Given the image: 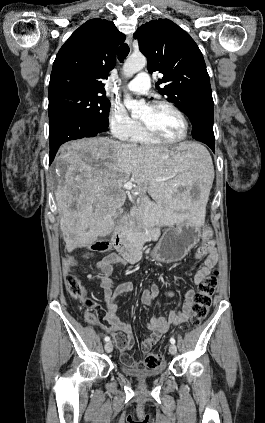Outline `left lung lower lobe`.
<instances>
[{
    "label": "left lung lower lobe",
    "instance_id": "1",
    "mask_svg": "<svg viewBox=\"0 0 265 423\" xmlns=\"http://www.w3.org/2000/svg\"><path fill=\"white\" fill-rule=\"evenodd\" d=\"M213 98L205 96L195 105L192 116V136L197 141L208 145L215 152L214 132H213Z\"/></svg>",
    "mask_w": 265,
    "mask_h": 423
}]
</instances>
